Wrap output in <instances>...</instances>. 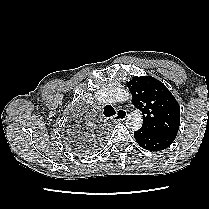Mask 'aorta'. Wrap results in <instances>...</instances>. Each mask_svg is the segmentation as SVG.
I'll return each mask as SVG.
<instances>
[{
    "instance_id": "aorta-1",
    "label": "aorta",
    "mask_w": 209,
    "mask_h": 209,
    "mask_svg": "<svg viewBox=\"0 0 209 209\" xmlns=\"http://www.w3.org/2000/svg\"><path fill=\"white\" fill-rule=\"evenodd\" d=\"M131 98L129 91L117 87H110L101 90L98 93V100L105 103L124 102ZM127 128L137 131L142 127L143 117L142 113L136 109L132 111L125 120Z\"/></svg>"
}]
</instances>
